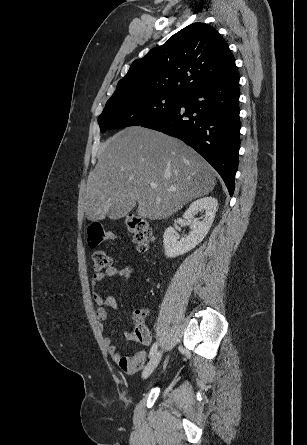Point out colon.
I'll use <instances>...</instances> for the list:
<instances>
[{
    "label": "colon",
    "mask_w": 307,
    "mask_h": 445,
    "mask_svg": "<svg viewBox=\"0 0 307 445\" xmlns=\"http://www.w3.org/2000/svg\"><path fill=\"white\" fill-rule=\"evenodd\" d=\"M128 231L131 233L134 243L140 251H146L153 239L152 231L145 219L136 215H129L126 218ZM114 239V234L104 228L101 222L93 221L87 229V244L95 248L101 243ZM94 267L97 271L106 270L112 266L111 257L105 251L97 250L93 253ZM146 310H136L132 315L135 330L132 332V339L142 344L150 342V335L145 326Z\"/></svg>",
    "instance_id": "1"
}]
</instances>
